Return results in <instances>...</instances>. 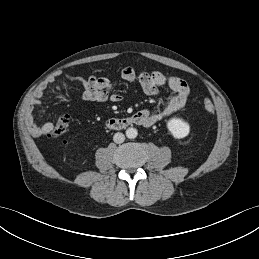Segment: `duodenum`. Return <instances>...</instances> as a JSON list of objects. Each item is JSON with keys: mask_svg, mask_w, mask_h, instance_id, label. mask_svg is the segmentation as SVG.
Segmentation results:
<instances>
[{"mask_svg": "<svg viewBox=\"0 0 259 259\" xmlns=\"http://www.w3.org/2000/svg\"><path fill=\"white\" fill-rule=\"evenodd\" d=\"M133 124H138L137 116H129L124 118H113L106 121V127L110 129H123Z\"/></svg>", "mask_w": 259, "mask_h": 259, "instance_id": "1", "label": "duodenum"}]
</instances>
